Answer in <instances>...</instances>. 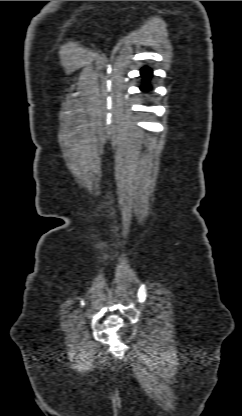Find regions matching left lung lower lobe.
<instances>
[{
  "mask_svg": "<svg viewBox=\"0 0 242 416\" xmlns=\"http://www.w3.org/2000/svg\"><path fill=\"white\" fill-rule=\"evenodd\" d=\"M141 76L144 78V81L140 89L142 91H149L150 90L149 79L152 76V70L148 67H143L141 70Z\"/></svg>",
  "mask_w": 242,
  "mask_h": 416,
  "instance_id": "0a47b994",
  "label": "left lung lower lobe"
}]
</instances>
